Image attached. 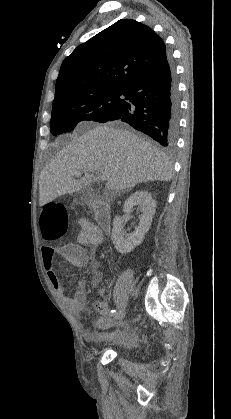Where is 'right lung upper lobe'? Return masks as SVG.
I'll return each mask as SVG.
<instances>
[{
    "label": "right lung upper lobe",
    "instance_id": "obj_1",
    "mask_svg": "<svg viewBox=\"0 0 231 419\" xmlns=\"http://www.w3.org/2000/svg\"><path fill=\"white\" fill-rule=\"evenodd\" d=\"M167 58L163 40L151 28L119 20L63 61L53 103L103 89L124 90Z\"/></svg>",
    "mask_w": 231,
    "mask_h": 419
}]
</instances>
